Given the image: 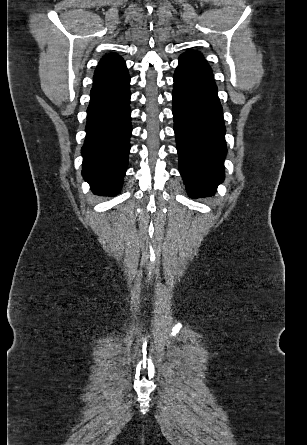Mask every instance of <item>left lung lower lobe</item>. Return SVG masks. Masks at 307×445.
I'll return each mask as SVG.
<instances>
[{"label": "left lung lower lobe", "instance_id": "0a47b994", "mask_svg": "<svg viewBox=\"0 0 307 445\" xmlns=\"http://www.w3.org/2000/svg\"><path fill=\"white\" fill-rule=\"evenodd\" d=\"M173 79L180 173L190 197L212 196L224 179L227 152L223 110L212 70L198 59L180 56Z\"/></svg>", "mask_w": 307, "mask_h": 445}]
</instances>
